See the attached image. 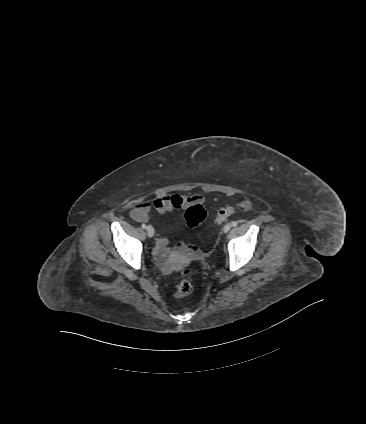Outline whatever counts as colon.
<instances>
[{
    "instance_id": "5ec220e1",
    "label": "colon",
    "mask_w": 366,
    "mask_h": 424,
    "mask_svg": "<svg viewBox=\"0 0 366 424\" xmlns=\"http://www.w3.org/2000/svg\"><path fill=\"white\" fill-rule=\"evenodd\" d=\"M235 208L233 206H227L225 208H221L215 218V223L220 224L224 222L228 217L234 214ZM207 209L203 204H195L187 208L185 212V220L186 223L190 227H195L199 225L206 217ZM189 253L193 257H198L200 255L199 250L196 247H190ZM190 272V269H185L183 274H187ZM193 286L192 284L186 280L182 279L176 286L174 290V295L176 297H185L192 293Z\"/></svg>"
}]
</instances>
